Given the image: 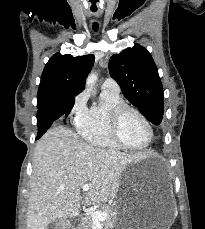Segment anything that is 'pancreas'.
<instances>
[{
	"label": "pancreas",
	"mask_w": 205,
	"mask_h": 229,
	"mask_svg": "<svg viewBox=\"0 0 205 229\" xmlns=\"http://www.w3.org/2000/svg\"><path fill=\"white\" fill-rule=\"evenodd\" d=\"M98 211L106 212L108 214V218L102 222V225L104 226V229H113V225L116 222L117 219V210L112 206H101ZM93 226V220H92V214H87L84 218V221L82 222L79 229H92Z\"/></svg>",
	"instance_id": "1"
}]
</instances>
